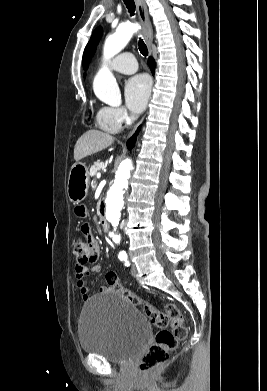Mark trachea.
<instances>
[{
  "label": "trachea",
  "instance_id": "obj_1",
  "mask_svg": "<svg viewBox=\"0 0 267 391\" xmlns=\"http://www.w3.org/2000/svg\"><path fill=\"white\" fill-rule=\"evenodd\" d=\"M127 9H128V12L130 13L131 16L134 15V12H135V3H134V0H123ZM138 46H139V51L140 53L143 55V56H147L148 55V49H147V46L146 44L144 43L143 39H139V43H138Z\"/></svg>",
  "mask_w": 267,
  "mask_h": 391
}]
</instances>
